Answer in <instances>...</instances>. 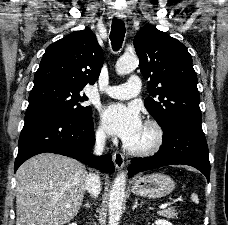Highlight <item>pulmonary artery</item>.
I'll return each mask as SVG.
<instances>
[{
    "label": "pulmonary artery",
    "mask_w": 228,
    "mask_h": 225,
    "mask_svg": "<svg viewBox=\"0 0 228 225\" xmlns=\"http://www.w3.org/2000/svg\"><path fill=\"white\" fill-rule=\"evenodd\" d=\"M137 76H132L130 80H137ZM130 85L108 86L105 89V93L110 97L117 99H130L135 94H140L142 90L141 81H130Z\"/></svg>",
    "instance_id": "pulmonary-artery-1"
}]
</instances>
